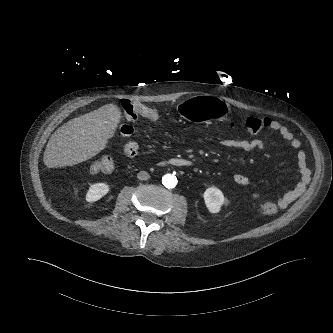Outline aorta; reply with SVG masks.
<instances>
[{
	"label": "aorta",
	"mask_w": 333,
	"mask_h": 333,
	"mask_svg": "<svg viewBox=\"0 0 333 333\" xmlns=\"http://www.w3.org/2000/svg\"><path fill=\"white\" fill-rule=\"evenodd\" d=\"M163 185L167 188H174L176 186V179L173 175L167 174L163 177Z\"/></svg>",
	"instance_id": "obj_1"
}]
</instances>
